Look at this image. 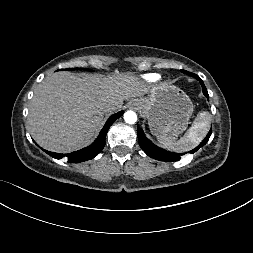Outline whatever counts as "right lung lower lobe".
<instances>
[{"instance_id": "1", "label": "right lung lower lobe", "mask_w": 253, "mask_h": 253, "mask_svg": "<svg viewBox=\"0 0 253 253\" xmlns=\"http://www.w3.org/2000/svg\"><path fill=\"white\" fill-rule=\"evenodd\" d=\"M123 111H120L114 115H112L104 125L103 129L101 130L99 136L97 139L88 147L83 148L81 150L69 153V154H60V153H54L50 151L44 150L47 154L50 156L60 159L63 157H66L68 162L70 163H79L83 161H87L90 159H93L95 156H97L101 150L105 146V139H106V133L109 129V127L115 122L117 118H119L121 115H123Z\"/></svg>"}]
</instances>
